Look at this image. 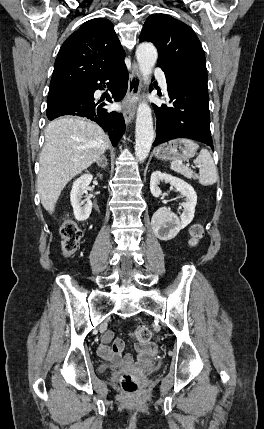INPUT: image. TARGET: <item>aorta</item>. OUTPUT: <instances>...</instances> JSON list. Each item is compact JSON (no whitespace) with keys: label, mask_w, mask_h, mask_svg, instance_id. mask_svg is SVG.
Instances as JSON below:
<instances>
[{"label":"aorta","mask_w":264,"mask_h":429,"mask_svg":"<svg viewBox=\"0 0 264 429\" xmlns=\"http://www.w3.org/2000/svg\"><path fill=\"white\" fill-rule=\"evenodd\" d=\"M157 50L152 43H140L136 50L139 70L145 83L149 82L152 69L157 61ZM154 139L151 108L143 101L138 105L135 128V155L143 161L149 155Z\"/></svg>","instance_id":"1"}]
</instances>
